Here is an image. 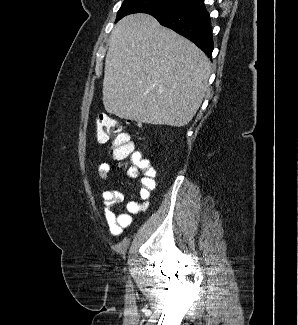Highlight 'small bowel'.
Listing matches in <instances>:
<instances>
[{
  "instance_id": "1",
  "label": "small bowel",
  "mask_w": 298,
  "mask_h": 325,
  "mask_svg": "<svg viewBox=\"0 0 298 325\" xmlns=\"http://www.w3.org/2000/svg\"><path fill=\"white\" fill-rule=\"evenodd\" d=\"M110 171V163H101L98 168L99 177L102 180H106ZM155 175L156 171L154 168L143 173L139 180V201L127 202L124 212L116 210V207L123 201V196L119 191L106 190L102 193L105 220L113 236H121L123 231L131 226L133 214L144 212L149 208L150 195L156 187Z\"/></svg>"
}]
</instances>
